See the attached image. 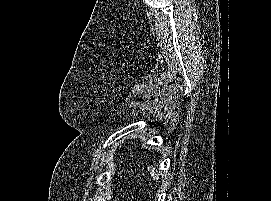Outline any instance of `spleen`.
Returning a JSON list of instances; mask_svg holds the SVG:
<instances>
[{
  "label": "spleen",
  "instance_id": "1",
  "mask_svg": "<svg viewBox=\"0 0 271 201\" xmlns=\"http://www.w3.org/2000/svg\"><path fill=\"white\" fill-rule=\"evenodd\" d=\"M151 168L149 167L148 168V170H150ZM150 173H151V176L153 177V179H157L158 177V175L156 174V172H155V169L154 168H152L151 170H150Z\"/></svg>",
  "mask_w": 271,
  "mask_h": 201
}]
</instances>
